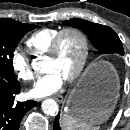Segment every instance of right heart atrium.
Returning a JSON list of instances; mask_svg holds the SVG:
<instances>
[{"instance_id": "1", "label": "right heart atrium", "mask_w": 130, "mask_h": 130, "mask_svg": "<svg viewBox=\"0 0 130 130\" xmlns=\"http://www.w3.org/2000/svg\"><path fill=\"white\" fill-rule=\"evenodd\" d=\"M11 66L20 79L30 81L34 78L28 56L18 48L13 50L11 54Z\"/></svg>"}]
</instances>
